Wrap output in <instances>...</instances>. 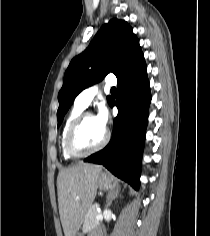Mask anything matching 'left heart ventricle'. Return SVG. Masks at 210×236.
<instances>
[{"label":"left heart ventricle","mask_w":210,"mask_h":236,"mask_svg":"<svg viewBox=\"0 0 210 236\" xmlns=\"http://www.w3.org/2000/svg\"><path fill=\"white\" fill-rule=\"evenodd\" d=\"M105 134L93 116L87 117L82 123L76 137V143L82 148H91L98 145Z\"/></svg>","instance_id":"b2bd125f"}]
</instances>
